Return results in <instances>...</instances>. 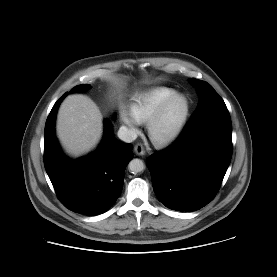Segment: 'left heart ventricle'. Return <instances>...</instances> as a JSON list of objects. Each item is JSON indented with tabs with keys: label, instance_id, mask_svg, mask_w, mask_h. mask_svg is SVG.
Instances as JSON below:
<instances>
[{
	"label": "left heart ventricle",
	"instance_id": "b2bd125f",
	"mask_svg": "<svg viewBox=\"0 0 277 277\" xmlns=\"http://www.w3.org/2000/svg\"><path fill=\"white\" fill-rule=\"evenodd\" d=\"M185 108L183 99L175 100L165 112L163 118L157 126V133L164 135L173 130L180 120Z\"/></svg>",
	"mask_w": 277,
	"mask_h": 277
}]
</instances>
